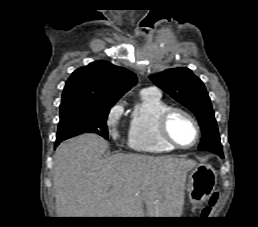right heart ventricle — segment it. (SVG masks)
Segmentation results:
<instances>
[{
    "mask_svg": "<svg viewBox=\"0 0 258 227\" xmlns=\"http://www.w3.org/2000/svg\"><path fill=\"white\" fill-rule=\"evenodd\" d=\"M169 106L159 94L141 92L130 114L128 146L137 152L165 154L175 148L162 140L158 130L160 115Z\"/></svg>",
    "mask_w": 258,
    "mask_h": 227,
    "instance_id": "e07e8e85",
    "label": "right heart ventricle"
}]
</instances>
